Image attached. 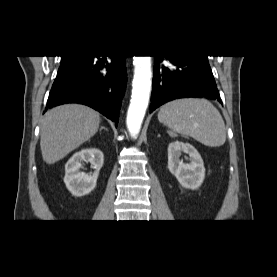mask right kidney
Listing matches in <instances>:
<instances>
[{
	"instance_id": "ca27d5eb",
	"label": "right kidney",
	"mask_w": 277,
	"mask_h": 277,
	"mask_svg": "<svg viewBox=\"0 0 277 277\" xmlns=\"http://www.w3.org/2000/svg\"><path fill=\"white\" fill-rule=\"evenodd\" d=\"M88 161L95 169L92 175L80 169L81 162ZM104 163L103 153L99 149L90 148L76 152L65 165L64 183L73 196L81 197L89 194L96 186L99 170Z\"/></svg>"
}]
</instances>
